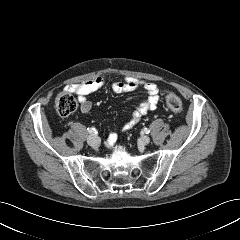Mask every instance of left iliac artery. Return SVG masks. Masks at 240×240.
I'll return each instance as SVG.
<instances>
[{
    "label": "left iliac artery",
    "mask_w": 240,
    "mask_h": 240,
    "mask_svg": "<svg viewBox=\"0 0 240 240\" xmlns=\"http://www.w3.org/2000/svg\"><path fill=\"white\" fill-rule=\"evenodd\" d=\"M143 132L146 133V134H149V133H150V130L147 129V128H144V129H143Z\"/></svg>",
    "instance_id": "obj_1"
}]
</instances>
